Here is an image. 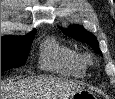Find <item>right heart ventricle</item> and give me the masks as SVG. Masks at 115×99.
<instances>
[{
	"instance_id": "obj_1",
	"label": "right heart ventricle",
	"mask_w": 115,
	"mask_h": 99,
	"mask_svg": "<svg viewBox=\"0 0 115 99\" xmlns=\"http://www.w3.org/2000/svg\"><path fill=\"white\" fill-rule=\"evenodd\" d=\"M38 63L43 70L64 76L83 77L86 73L83 56L52 37L42 43Z\"/></svg>"
}]
</instances>
